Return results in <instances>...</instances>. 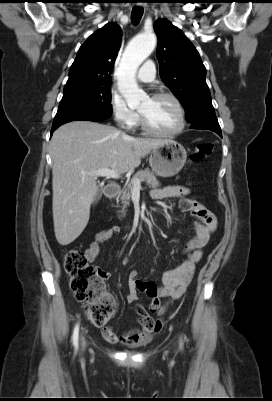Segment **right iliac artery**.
Instances as JSON below:
<instances>
[{"label":"right iliac artery","mask_w":272,"mask_h":401,"mask_svg":"<svg viewBox=\"0 0 272 401\" xmlns=\"http://www.w3.org/2000/svg\"><path fill=\"white\" fill-rule=\"evenodd\" d=\"M78 336H79V324H76L72 336L73 345L75 346V348L78 347Z\"/></svg>","instance_id":"82829eb1"}]
</instances>
